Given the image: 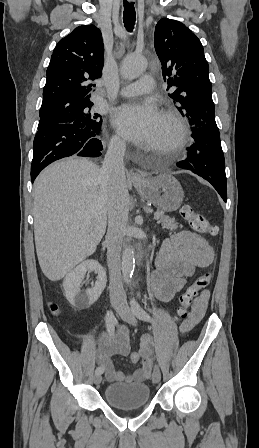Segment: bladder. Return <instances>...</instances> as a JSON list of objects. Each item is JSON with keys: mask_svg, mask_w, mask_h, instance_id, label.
Wrapping results in <instances>:
<instances>
[{"mask_svg": "<svg viewBox=\"0 0 259 448\" xmlns=\"http://www.w3.org/2000/svg\"><path fill=\"white\" fill-rule=\"evenodd\" d=\"M104 398L117 409H137L149 402L150 388L145 383H113L105 388Z\"/></svg>", "mask_w": 259, "mask_h": 448, "instance_id": "1", "label": "bladder"}]
</instances>
